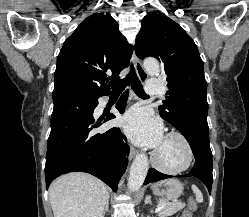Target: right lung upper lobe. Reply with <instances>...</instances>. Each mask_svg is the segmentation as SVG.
I'll use <instances>...</instances> for the list:
<instances>
[{
    "label": "right lung upper lobe",
    "mask_w": 249,
    "mask_h": 217,
    "mask_svg": "<svg viewBox=\"0 0 249 217\" xmlns=\"http://www.w3.org/2000/svg\"><path fill=\"white\" fill-rule=\"evenodd\" d=\"M133 47L109 13L87 17L64 42L57 58L53 93L73 91L87 95L109 92L110 80L129 65Z\"/></svg>",
    "instance_id": "1"
}]
</instances>
